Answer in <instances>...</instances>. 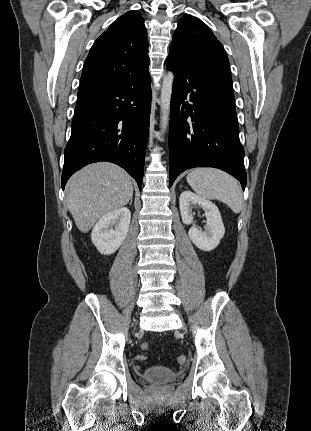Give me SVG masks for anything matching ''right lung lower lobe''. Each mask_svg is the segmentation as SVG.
Instances as JSON below:
<instances>
[{
	"instance_id": "obj_1",
	"label": "right lung lower lobe",
	"mask_w": 311,
	"mask_h": 431,
	"mask_svg": "<svg viewBox=\"0 0 311 431\" xmlns=\"http://www.w3.org/2000/svg\"><path fill=\"white\" fill-rule=\"evenodd\" d=\"M150 110L148 70L124 84L78 95L64 152L62 189L81 167L109 161L124 168L141 190Z\"/></svg>"
}]
</instances>
